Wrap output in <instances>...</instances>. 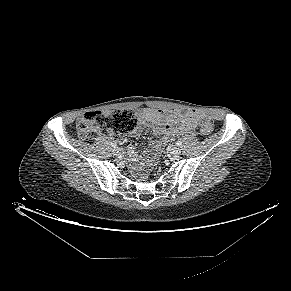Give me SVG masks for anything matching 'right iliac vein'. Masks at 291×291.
<instances>
[{
  "instance_id": "right-iliac-vein-1",
  "label": "right iliac vein",
  "mask_w": 291,
  "mask_h": 291,
  "mask_svg": "<svg viewBox=\"0 0 291 291\" xmlns=\"http://www.w3.org/2000/svg\"><path fill=\"white\" fill-rule=\"evenodd\" d=\"M121 153H122V150L119 149V148H116V149L113 150V154H114L115 156H119V155H121Z\"/></svg>"
}]
</instances>
